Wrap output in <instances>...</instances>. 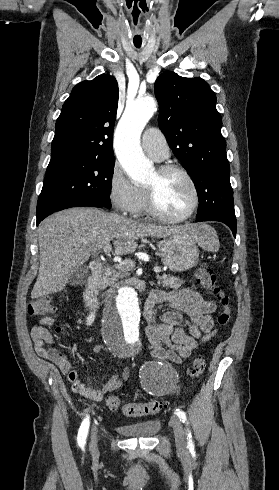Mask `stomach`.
Returning a JSON list of instances; mask_svg holds the SVG:
<instances>
[{
  "instance_id": "1",
  "label": "stomach",
  "mask_w": 279,
  "mask_h": 490,
  "mask_svg": "<svg viewBox=\"0 0 279 490\" xmlns=\"http://www.w3.org/2000/svg\"><path fill=\"white\" fill-rule=\"evenodd\" d=\"M197 242L190 236L183 234H168L164 236L159 252L164 266L170 272H187L199 262V250Z\"/></svg>"
}]
</instances>
